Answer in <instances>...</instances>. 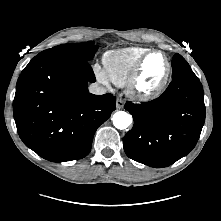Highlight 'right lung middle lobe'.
Instances as JSON below:
<instances>
[{"label":"right lung middle lobe","instance_id":"obj_1","mask_svg":"<svg viewBox=\"0 0 221 221\" xmlns=\"http://www.w3.org/2000/svg\"><path fill=\"white\" fill-rule=\"evenodd\" d=\"M97 49L98 47L94 45L93 41L78 44H63L47 49L33 59L61 58L88 62L93 58Z\"/></svg>","mask_w":221,"mask_h":221}]
</instances>
